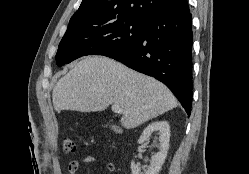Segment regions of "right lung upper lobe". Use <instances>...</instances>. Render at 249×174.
I'll return each mask as SVG.
<instances>
[{"instance_id": "right-lung-upper-lobe-1", "label": "right lung upper lobe", "mask_w": 249, "mask_h": 174, "mask_svg": "<svg viewBox=\"0 0 249 174\" xmlns=\"http://www.w3.org/2000/svg\"><path fill=\"white\" fill-rule=\"evenodd\" d=\"M187 0H83L67 30L100 25L121 18L147 20L159 13L182 10Z\"/></svg>"}]
</instances>
